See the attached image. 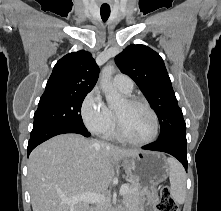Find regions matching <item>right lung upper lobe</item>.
Here are the masks:
<instances>
[{
	"mask_svg": "<svg viewBox=\"0 0 221 211\" xmlns=\"http://www.w3.org/2000/svg\"><path fill=\"white\" fill-rule=\"evenodd\" d=\"M99 75L91 53L81 50L61 58L54 66L44 93H88Z\"/></svg>",
	"mask_w": 221,
	"mask_h": 211,
	"instance_id": "obj_1",
	"label": "right lung upper lobe"
}]
</instances>
